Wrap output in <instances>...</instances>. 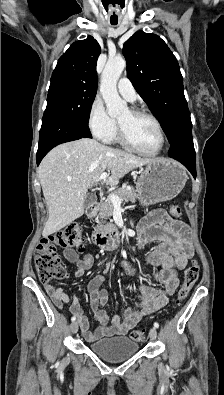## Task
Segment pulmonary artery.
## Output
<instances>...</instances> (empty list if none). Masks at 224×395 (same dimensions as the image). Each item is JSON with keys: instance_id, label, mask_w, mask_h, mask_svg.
I'll return each mask as SVG.
<instances>
[{"instance_id": "1", "label": "pulmonary artery", "mask_w": 224, "mask_h": 395, "mask_svg": "<svg viewBox=\"0 0 224 395\" xmlns=\"http://www.w3.org/2000/svg\"><path fill=\"white\" fill-rule=\"evenodd\" d=\"M117 88L120 95L129 102H134L136 100L137 94L135 88L128 78H120L117 83Z\"/></svg>"}]
</instances>
